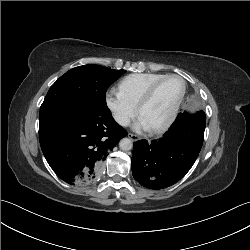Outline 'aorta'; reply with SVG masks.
Wrapping results in <instances>:
<instances>
[{
    "label": "aorta",
    "mask_w": 250,
    "mask_h": 250,
    "mask_svg": "<svg viewBox=\"0 0 250 250\" xmlns=\"http://www.w3.org/2000/svg\"><path fill=\"white\" fill-rule=\"evenodd\" d=\"M132 146H133L132 141L129 138H123L119 142V147L123 151H129V150H131Z\"/></svg>",
    "instance_id": "obj_1"
}]
</instances>
